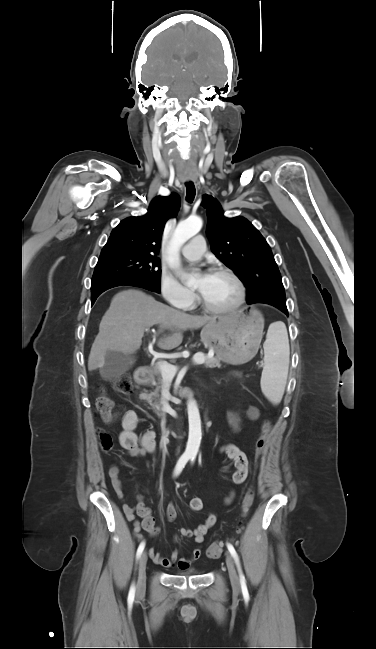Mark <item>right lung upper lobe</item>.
Returning a JSON list of instances; mask_svg holds the SVG:
<instances>
[{
	"label": "right lung upper lobe",
	"instance_id": "right-lung-upper-lobe-1",
	"mask_svg": "<svg viewBox=\"0 0 376 649\" xmlns=\"http://www.w3.org/2000/svg\"><path fill=\"white\" fill-rule=\"evenodd\" d=\"M180 208L177 194L157 196L148 212L140 217H128L113 229L101 254L114 252L158 253L166 221L175 217Z\"/></svg>",
	"mask_w": 376,
	"mask_h": 649
}]
</instances>
